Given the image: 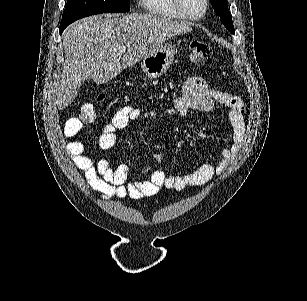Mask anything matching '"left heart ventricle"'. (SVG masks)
<instances>
[{"label": "left heart ventricle", "instance_id": "b2bd125f", "mask_svg": "<svg viewBox=\"0 0 307 301\" xmlns=\"http://www.w3.org/2000/svg\"><path fill=\"white\" fill-rule=\"evenodd\" d=\"M183 4V13H190L191 11H198L199 0H184L181 1Z\"/></svg>", "mask_w": 307, "mask_h": 301}]
</instances>
